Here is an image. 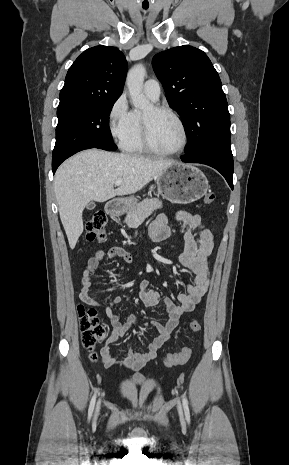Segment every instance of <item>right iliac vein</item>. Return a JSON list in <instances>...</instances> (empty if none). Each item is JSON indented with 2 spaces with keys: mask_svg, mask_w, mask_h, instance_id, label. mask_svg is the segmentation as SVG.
<instances>
[{
  "mask_svg": "<svg viewBox=\"0 0 289 465\" xmlns=\"http://www.w3.org/2000/svg\"><path fill=\"white\" fill-rule=\"evenodd\" d=\"M99 408H100V403H99V404H98V406H97V409H96V415H97V414H98V412H99Z\"/></svg>",
  "mask_w": 289,
  "mask_h": 465,
  "instance_id": "1",
  "label": "right iliac vein"
}]
</instances>
